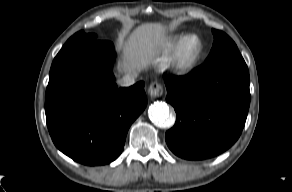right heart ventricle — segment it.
Returning <instances> with one entry per match:
<instances>
[{
  "label": "right heart ventricle",
  "instance_id": "1",
  "mask_svg": "<svg viewBox=\"0 0 292 192\" xmlns=\"http://www.w3.org/2000/svg\"><path fill=\"white\" fill-rule=\"evenodd\" d=\"M182 37V34L167 37L161 44L162 50L166 53L172 52Z\"/></svg>",
  "mask_w": 292,
  "mask_h": 192
}]
</instances>
